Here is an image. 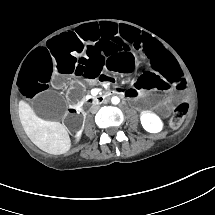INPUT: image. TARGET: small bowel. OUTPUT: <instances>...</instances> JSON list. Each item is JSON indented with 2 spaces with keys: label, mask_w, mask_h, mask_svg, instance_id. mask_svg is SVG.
Segmentation results:
<instances>
[{
  "label": "small bowel",
  "mask_w": 215,
  "mask_h": 215,
  "mask_svg": "<svg viewBox=\"0 0 215 215\" xmlns=\"http://www.w3.org/2000/svg\"><path fill=\"white\" fill-rule=\"evenodd\" d=\"M136 92L134 91V90H132L131 92H130V94L131 95H134Z\"/></svg>",
  "instance_id": "c3829d8e"
}]
</instances>
